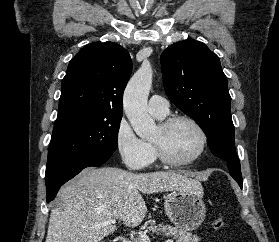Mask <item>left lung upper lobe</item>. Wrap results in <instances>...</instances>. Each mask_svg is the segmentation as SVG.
Returning <instances> with one entry per match:
<instances>
[{"label":"left lung upper lobe","instance_id":"obj_1","mask_svg":"<svg viewBox=\"0 0 279 242\" xmlns=\"http://www.w3.org/2000/svg\"><path fill=\"white\" fill-rule=\"evenodd\" d=\"M160 60L170 101L201 126L212 153L227 162L236 181H242L231 97L218 56L202 42L184 40L165 49Z\"/></svg>","mask_w":279,"mask_h":242}]
</instances>
